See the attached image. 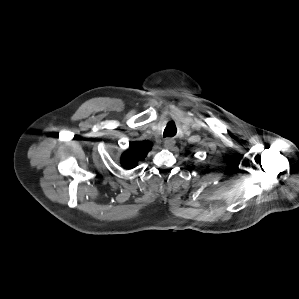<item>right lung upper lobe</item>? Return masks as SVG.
Instances as JSON below:
<instances>
[{"mask_svg": "<svg viewBox=\"0 0 299 299\" xmlns=\"http://www.w3.org/2000/svg\"><path fill=\"white\" fill-rule=\"evenodd\" d=\"M149 150L150 148L143 143H133L122 155L121 164L127 169H132L137 165L138 160L144 159Z\"/></svg>", "mask_w": 299, "mask_h": 299, "instance_id": "right-lung-upper-lobe-1", "label": "right lung upper lobe"}]
</instances>
